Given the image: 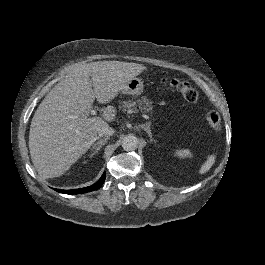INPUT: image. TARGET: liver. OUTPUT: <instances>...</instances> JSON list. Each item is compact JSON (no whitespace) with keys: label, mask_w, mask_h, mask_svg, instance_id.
Returning a JSON list of instances; mask_svg holds the SVG:
<instances>
[{"label":"liver","mask_w":265,"mask_h":265,"mask_svg":"<svg viewBox=\"0 0 265 265\" xmlns=\"http://www.w3.org/2000/svg\"><path fill=\"white\" fill-rule=\"evenodd\" d=\"M144 69L143 65L121 61L82 64L51 89L34 113L29 130L31 159L41 177L59 176L96 140L97 129L106 122L83 113L94 99L106 102L126 80ZM113 113L114 108L108 107L104 117L111 119ZM78 115L86 116L74 124L73 117Z\"/></svg>","instance_id":"liver-1"}]
</instances>
